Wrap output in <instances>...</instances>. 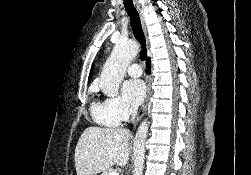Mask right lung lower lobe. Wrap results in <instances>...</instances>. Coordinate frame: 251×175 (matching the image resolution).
I'll return each instance as SVG.
<instances>
[{"label":"right lung lower lobe","instance_id":"1","mask_svg":"<svg viewBox=\"0 0 251 175\" xmlns=\"http://www.w3.org/2000/svg\"><path fill=\"white\" fill-rule=\"evenodd\" d=\"M146 66L148 67V69H147V73H149L150 72V60H148L147 62H146Z\"/></svg>","mask_w":251,"mask_h":175}]
</instances>
